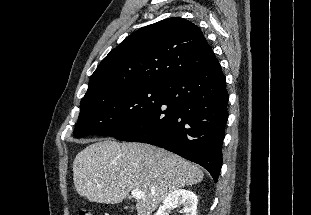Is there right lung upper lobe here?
<instances>
[{"label": "right lung upper lobe", "instance_id": "obj_1", "mask_svg": "<svg viewBox=\"0 0 311 215\" xmlns=\"http://www.w3.org/2000/svg\"><path fill=\"white\" fill-rule=\"evenodd\" d=\"M215 61L198 26L184 18L164 19L135 31L111 50L92 74L84 97L134 86H163Z\"/></svg>", "mask_w": 311, "mask_h": 215}]
</instances>
